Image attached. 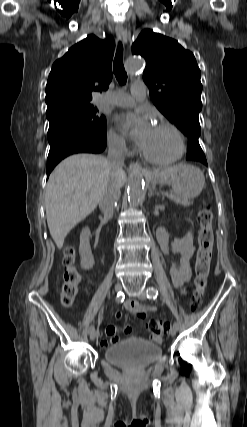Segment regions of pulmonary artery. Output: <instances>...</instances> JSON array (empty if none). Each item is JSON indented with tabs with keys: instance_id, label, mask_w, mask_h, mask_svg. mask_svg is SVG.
I'll return each mask as SVG.
<instances>
[{
	"instance_id": "1",
	"label": "pulmonary artery",
	"mask_w": 247,
	"mask_h": 427,
	"mask_svg": "<svg viewBox=\"0 0 247 427\" xmlns=\"http://www.w3.org/2000/svg\"><path fill=\"white\" fill-rule=\"evenodd\" d=\"M145 96V85L143 83H135L131 87V94L119 93L114 96H107L104 101L115 106L129 107L137 102H142Z\"/></svg>"
}]
</instances>
